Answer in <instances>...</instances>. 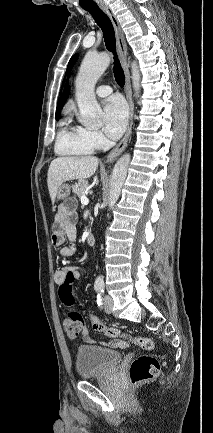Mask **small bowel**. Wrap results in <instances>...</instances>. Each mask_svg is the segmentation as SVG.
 Instances as JSON below:
<instances>
[{"instance_id": "1", "label": "small bowel", "mask_w": 213, "mask_h": 433, "mask_svg": "<svg viewBox=\"0 0 213 433\" xmlns=\"http://www.w3.org/2000/svg\"><path fill=\"white\" fill-rule=\"evenodd\" d=\"M76 221L77 216L71 210L69 205H61L59 207L53 225L52 243L54 246L60 247L59 253L64 258L71 257L76 253ZM66 240L69 242L68 245H64ZM70 272L73 273L75 279L78 277L77 268L67 264L55 272L54 281L58 287V291H60L61 288L67 283V275ZM64 306L70 308L66 305ZM81 334L85 342L90 344L94 343V339L89 335L88 328L84 327L81 331ZM103 344L112 348H123L126 346L124 341L118 339L104 342Z\"/></svg>"}]
</instances>
